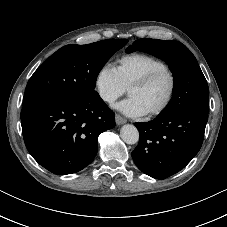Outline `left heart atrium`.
Instances as JSON below:
<instances>
[{
  "label": "left heart atrium",
  "instance_id": "1",
  "mask_svg": "<svg viewBox=\"0 0 227 227\" xmlns=\"http://www.w3.org/2000/svg\"><path fill=\"white\" fill-rule=\"evenodd\" d=\"M116 109L128 117H141L145 115L144 110L133 97H129L118 103Z\"/></svg>",
  "mask_w": 227,
  "mask_h": 227
}]
</instances>
